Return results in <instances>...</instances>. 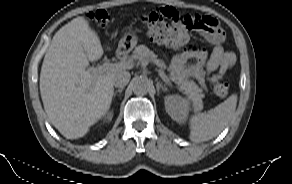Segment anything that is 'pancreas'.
I'll return each mask as SVG.
<instances>
[{
	"instance_id": "1",
	"label": "pancreas",
	"mask_w": 292,
	"mask_h": 184,
	"mask_svg": "<svg viewBox=\"0 0 292 184\" xmlns=\"http://www.w3.org/2000/svg\"><path fill=\"white\" fill-rule=\"evenodd\" d=\"M134 56L138 59H147L151 62L158 63L162 68H166L163 60L157 59V55L153 51L149 50L145 45H139L134 50ZM170 79L174 81L178 89L182 91L192 102L193 109L200 111L203 108L202 98L204 93L202 88H200L193 80L185 78L181 74L172 73Z\"/></svg>"
}]
</instances>
